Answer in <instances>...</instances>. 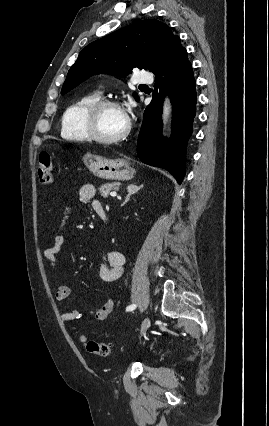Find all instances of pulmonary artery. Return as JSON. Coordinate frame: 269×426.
Here are the masks:
<instances>
[{"label":"pulmonary artery","mask_w":269,"mask_h":426,"mask_svg":"<svg viewBox=\"0 0 269 426\" xmlns=\"http://www.w3.org/2000/svg\"><path fill=\"white\" fill-rule=\"evenodd\" d=\"M153 78L149 73L139 72L135 75V82L141 86H146L152 82Z\"/></svg>","instance_id":"e3ab8cb5"}]
</instances>
